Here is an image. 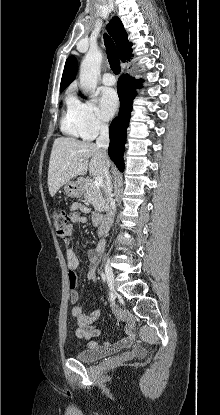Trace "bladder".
Here are the masks:
<instances>
[{
	"instance_id": "31cf9c89",
	"label": "bladder",
	"mask_w": 220,
	"mask_h": 415,
	"mask_svg": "<svg viewBox=\"0 0 220 415\" xmlns=\"http://www.w3.org/2000/svg\"><path fill=\"white\" fill-rule=\"evenodd\" d=\"M113 352L103 347L88 346L85 349L79 351L76 358L83 362H93L108 356H111Z\"/></svg>"
}]
</instances>
